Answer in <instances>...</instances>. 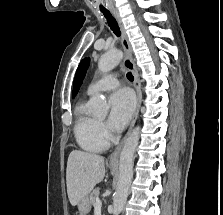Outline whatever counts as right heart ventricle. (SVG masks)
<instances>
[{"mask_svg": "<svg viewBox=\"0 0 223 215\" xmlns=\"http://www.w3.org/2000/svg\"><path fill=\"white\" fill-rule=\"evenodd\" d=\"M73 133L77 144L88 152H103L108 148V142L101 133L97 118L88 113L84 103L75 109Z\"/></svg>", "mask_w": 223, "mask_h": 215, "instance_id": "e07e8e85", "label": "right heart ventricle"}]
</instances>
